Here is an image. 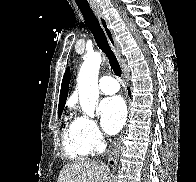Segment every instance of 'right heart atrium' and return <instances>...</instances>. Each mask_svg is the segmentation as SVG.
<instances>
[{
    "instance_id": "1",
    "label": "right heart atrium",
    "mask_w": 196,
    "mask_h": 182,
    "mask_svg": "<svg viewBox=\"0 0 196 182\" xmlns=\"http://www.w3.org/2000/svg\"><path fill=\"white\" fill-rule=\"evenodd\" d=\"M82 140L90 152H97L105 145V137L97 123L88 117L77 118Z\"/></svg>"
}]
</instances>
